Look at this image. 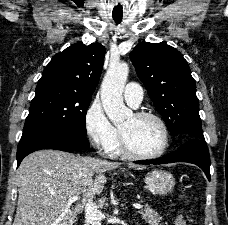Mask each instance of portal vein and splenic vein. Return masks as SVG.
<instances>
[{"label": "portal vein and splenic vein", "mask_w": 228, "mask_h": 225, "mask_svg": "<svg viewBox=\"0 0 228 225\" xmlns=\"http://www.w3.org/2000/svg\"><path fill=\"white\" fill-rule=\"evenodd\" d=\"M68 201H70V203H75V201H79V197H70ZM133 207H135V209H142L141 205H133Z\"/></svg>", "instance_id": "portal-vein-and-splenic-vein-1"}]
</instances>
